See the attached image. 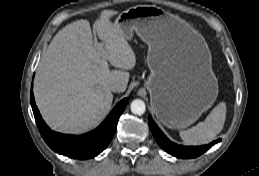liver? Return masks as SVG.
<instances>
[{
	"instance_id": "1",
	"label": "liver",
	"mask_w": 259,
	"mask_h": 176,
	"mask_svg": "<svg viewBox=\"0 0 259 176\" xmlns=\"http://www.w3.org/2000/svg\"><path fill=\"white\" fill-rule=\"evenodd\" d=\"M117 11L103 10L94 23L102 41L95 44L88 20L68 24L53 37L38 65L34 96L54 130L77 134L100 123L111 109L112 83L124 92L136 56L121 30L110 21ZM108 62L116 69L110 70Z\"/></svg>"
}]
</instances>
